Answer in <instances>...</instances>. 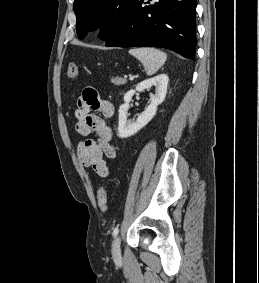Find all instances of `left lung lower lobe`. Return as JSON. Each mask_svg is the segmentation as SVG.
Returning <instances> with one entry per match:
<instances>
[{
	"label": "left lung lower lobe",
	"mask_w": 259,
	"mask_h": 283,
	"mask_svg": "<svg viewBox=\"0 0 259 283\" xmlns=\"http://www.w3.org/2000/svg\"><path fill=\"white\" fill-rule=\"evenodd\" d=\"M196 0H135L124 23L107 41L114 47H163L195 59Z\"/></svg>",
	"instance_id": "left-lung-lower-lobe-1"
}]
</instances>
